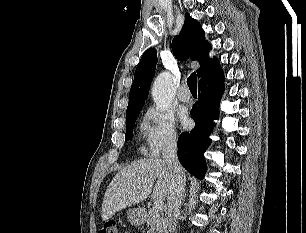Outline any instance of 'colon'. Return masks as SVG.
<instances>
[{
  "label": "colon",
  "mask_w": 306,
  "mask_h": 233,
  "mask_svg": "<svg viewBox=\"0 0 306 233\" xmlns=\"http://www.w3.org/2000/svg\"><path fill=\"white\" fill-rule=\"evenodd\" d=\"M98 233H119L117 222H107L99 230Z\"/></svg>",
  "instance_id": "colon-1"
}]
</instances>
